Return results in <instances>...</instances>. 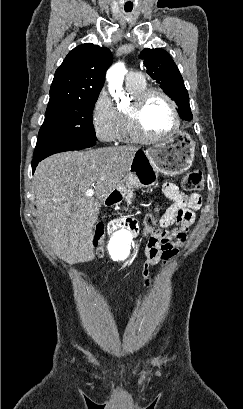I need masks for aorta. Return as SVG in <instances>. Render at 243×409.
<instances>
[{
  "mask_svg": "<svg viewBox=\"0 0 243 409\" xmlns=\"http://www.w3.org/2000/svg\"><path fill=\"white\" fill-rule=\"evenodd\" d=\"M126 68L124 63L118 62L113 65L106 74L110 94L115 98H124L122 88ZM132 241V234L125 228L115 231L109 241L108 249L112 256L120 257L129 252Z\"/></svg>",
  "mask_w": 243,
  "mask_h": 409,
  "instance_id": "obj_1",
  "label": "aorta"
}]
</instances>
